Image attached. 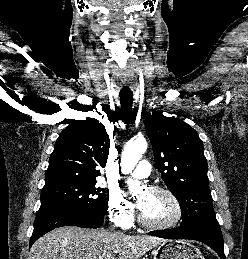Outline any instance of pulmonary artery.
<instances>
[{"label": "pulmonary artery", "mask_w": 248, "mask_h": 259, "mask_svg": "<svg viewBox=\"0 0 248 259\" xmlns=\"http://www.w3.org/2000/svg\"><path fill=\"white\" fill-rule=\"evenodd\" d=\"M151 172V165L147 160H142L137 168L130 173V176L137 179L146 178Z\"/></svg>", "instance_id": "pulmonary-artery-1"}]
</instances>
